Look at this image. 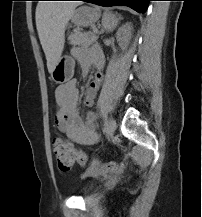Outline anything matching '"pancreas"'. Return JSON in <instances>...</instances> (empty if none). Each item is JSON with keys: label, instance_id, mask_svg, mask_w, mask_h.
I'll list each match as a JSON object with an SVG mask.
<instances>
[{"label": "pancreas", "instance_id": "1", "mask_svg": "<svg viewBox=\"0 0 202 217\" xmlns=\"http://www.w3.org/2000/svg\"><path fill=\"white\" fill-rule=\"evenodd\" d=\"M68 39L71 45L88 47L98 39V35L95 32L82 33L79 29H75Z\"/></svg>", "mask_w": 202, "mask_h": 217}]
</instances>
